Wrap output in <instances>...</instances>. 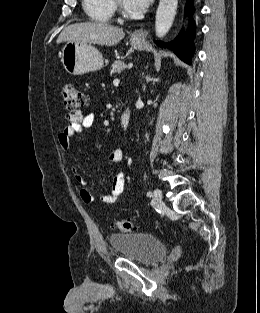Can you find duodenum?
I'll return each mask as SVG.
<instances>
[{"label": "duodenum", "instance_id": "obj_1", "mask_svg": "<svg viewBox=\"0 0 260 313\" xmlns=\"http://www.w3.org/2000/svg\"><path fill=\"white\" fill-rule=\"evenodd\" d=\"M130 118V110L128 107H125L121 116V126L124 131H128L130 128Z\"/></svg>", "mask_w": 260, "mask_h": 313}]
</instances>
